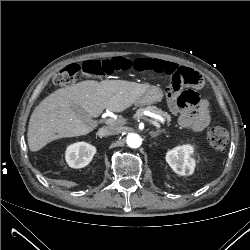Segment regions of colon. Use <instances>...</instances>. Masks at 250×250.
<instances>
[{
    "mask_svg": "<svg viewBox=\"0 0 250 250\" xmlns=\"http://www.w3.org/2000/svg\"><path fill=\"white\" fill-rule=\"evenodd\" d=\"M133 68V60L117 57L108 60H90L80 64H70L58 70L53 81L58 86H69L75 82L77 74L97 77L111 75L115 71H127ZM200 74L191 68L182 67L171 75V87L180 89L182 85L197 87L201 84ZM180 102L192 108L197 107L201 98L194 89H186L181 93ZM210 146L216 150L224 149L229 140L228 132L220 126H213L207 133Z\"/></svg>",
    "mask_w": 250,
    "mask_h": 250,
    "instance_id": "obj_1",
    "label": "colon"
}]
</instances>
